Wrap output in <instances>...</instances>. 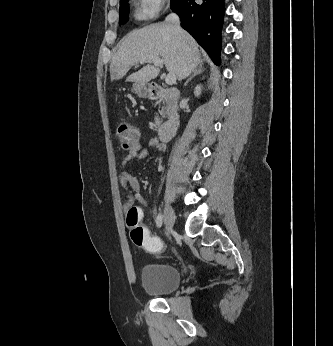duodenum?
<instances>
[{
    "label": "duodenum",
    "instance_id": "1",
    "mask_svg": "<svg viewBox=\"0 0 333 346\" xmlns=\"http://www.w3.org/2000/svg\"><path fill=\"white\" fill-rule=\"evenodd\" d=\"M149 90V96L152 100H166L168 102L166 112L169 115V120L158 128L159 139L163 142L168 141L180 124L177 102L181 97V92L175 88H163L159 85H152Z\"/></svg>",
    "mask_w": 333,
    "mask_h": 346
}]
</instances>
